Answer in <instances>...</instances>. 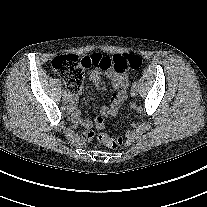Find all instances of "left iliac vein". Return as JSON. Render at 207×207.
<instances>
[{"label": "left iliac vein", "instance_id": "4c4485c4", "mask_svg": "<svg viewBox=\"0 0 207 207\" xmlns=\"http://www.w3.org/2000/svg\"><path fill=\"white\" fill-rule=\"evenodd\" d=\"M131 96L135 97L138 94V88L137 86H132L130 90Z\"/></svg>", "mask_w": 207, "mask_h": 207}]
</instances>
